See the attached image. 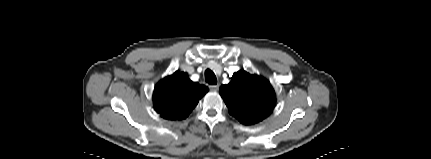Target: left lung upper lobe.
<instances>
[{
  "instance_id": "left-lung-upper-lobe-1",
  "label": "left lung upper lobe",
  "mask_w": 431,
  "mask_h": 159,
  "mask_svg": "<svg viewBox=\"0 0 431 159\" xmlns=\"http://www.w3.org/2000/svg\"><path fill=\"white\" fill-rule=\"evenodd\" d=\"M229 113L243 124H254L269 116L275 106V92L263 77L241 70L228 85L220 87Z\"/></svg>"
}]
</instances>
